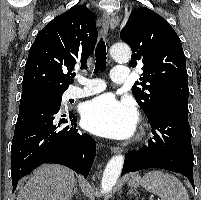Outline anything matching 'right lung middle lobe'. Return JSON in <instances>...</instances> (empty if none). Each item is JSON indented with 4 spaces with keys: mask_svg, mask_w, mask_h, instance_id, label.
<instances>
[{
    "mask_svg": "<svg viewBox=\"0 0 201 200\" xmlns=\"http://www.w3.org/2000/svg\"><path fill=\"white\" fill-rule=\"evenodd\" d=\"M61 100H62V93L61 94L45 93V94L21 96L19 109L40 104H54L60 106Z\"/></svg>",
    "mask_w": 201,
    "mask_h": 200,
    "instance_id": "1",
    "label": "right lung middle lobe"
}]
</instances>
